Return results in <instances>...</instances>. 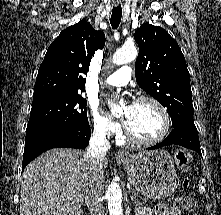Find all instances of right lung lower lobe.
I'll return each mask as SVG.
<instances>
[{
  "instance_id": "1",
  "label": "right lung lower lobe",
  "mask_w": 221,
  "mask_h": 215,
  "mask_svg": "<svg viewBox=\"0 0 221 215\" xmlns=\"http://www.w3.org/2000/svg\"><path fill=\"white\" fill-rule=\"evenodd\" d=\"M91 136L90 127L76 131L47 128L26 133L22 170L41 153L58 147L85 148Z\"/></svg>"
}]
</instances>
